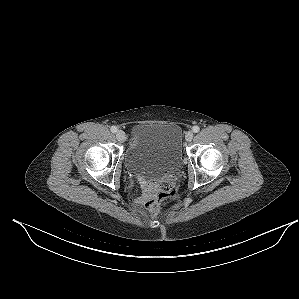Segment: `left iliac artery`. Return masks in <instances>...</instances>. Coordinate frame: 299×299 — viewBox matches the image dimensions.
Segmentation results:
<instances>
[{"label":"left iliac artery","mask_w":299,"mask_h":299,"mask_svg":"<svg viewBox=\"0 0 299 299\" xmlns=\"http://www.w3.org/2000/svg\"><path fill=\"white\" fill-rule=\"evenodd\" d=\"M192 130L194 133H197V132H199L200 128H199V126L196 125L192 128Z\"/></svg>","instance_id":"left-iliac-artery-1"}]
</instances>
